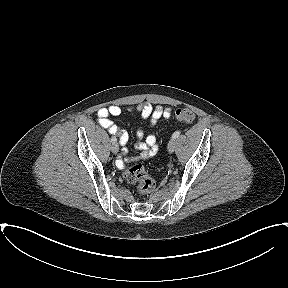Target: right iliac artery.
<instances>
[{
	"label": "right iliac artery",
	"instance_id": "right-iliac-artery-1",
	"mask_svg": "<svg viewBox=\"0 0 288 288\" xmlns=\"http://www.w3.org/2000/svg\"><path fill=\"white\" fill-rule=\"evenodd\" d=\"M116 141H117V139H116L115 137H112V138H111V142H112V143H114V142H116Z\"/></svg>",
	"mask_w": 288,
	"mask_h": 288
}]
</instances>
